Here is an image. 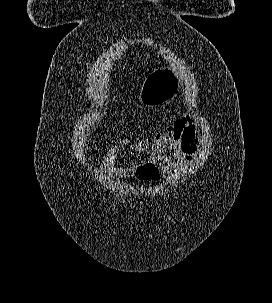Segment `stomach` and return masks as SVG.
<instances>
[{
    "instance_id": "1",
    "label": "stomach",
    "mask_w": 272,
    "mask_h": 303,
    "mask_svg": "<svg viewBox=\"0 0 272 303\" xmlns=\"http://www.w3.org/2000/svg\"><path fill=\"white\" fill-rule=\"evenodd\" d=\"M179 77L169 67H161L151 72L144 80L139 93V101L146 107H156L169 102L179 90Z\"/></svg>"
}]
</instances>
